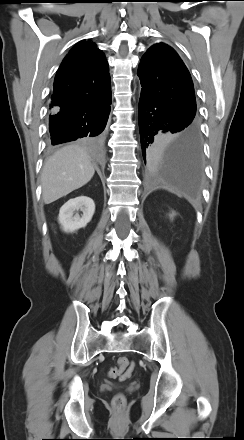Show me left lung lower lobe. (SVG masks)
Here are the masks:
<instances>
[{"instance_id": "1", "label": "left lung lower lobe", "mask_w": 244, "mask_h": 440, "mask_svg": "<svg viewBox=\"0 0 244 440\" xmlns=\"http://www.w3.org/2000/svg\"><path fill=\"white\" fill-rule=\"evenodd\" d=\"M139 132L147 169L153 174L173 175L182 191L196 193L203 166L199 129L165 103L141 91Z\"/></svg>"}]
</instances>
